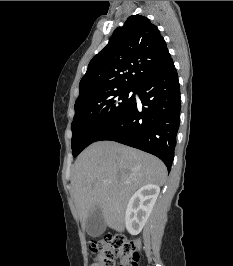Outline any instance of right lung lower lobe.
Wrapping results in <instances>:
<instances>
[{
  "label": "right lung lower lobe",
  "instance_id": "right-lung-lower-lobe-1",
  "mask_svg": "<svg viewBox=\"0 0 233 266\" xmlns=\"http://www.w3.org/2000/svg\"><path fill=\"white\" fill-rule=\"evenodd\" d=\"M134 100L96 141L112 140L160 158L171 169L179 128L180 87L173 61L136 88Z\"/></svg>",
  "mask_w": 233,
  "mask_h": 266
}]
</instances>
